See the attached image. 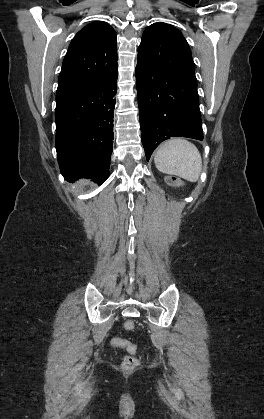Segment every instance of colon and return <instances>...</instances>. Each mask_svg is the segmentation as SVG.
Returning <instances> with one entry per match:
<instances>
[{
	"label": "colon",
	"instance_id": "obj_1",
	"mask_svg": "<svg viewBox=\"0 0 264 419\" xmlns=\"http://www.w3.org/2000/svg\"><path fill=\"white\" fill-rule=\"evenodd\" d=\"M170 183L173 185H179L180 181L177 178L173 177L170 179ZM125 329L128 331L134 330L135 323L133 321H127L125 323ZM114 345L115 347L124 348L130 353L129 355L125 356L122 362V368L126 371H131L135 369L139 364V360L135 356L137 352V346L122 338H117L114 342Z\"/></svg>",
	"mask_w": 264,
	"mask_h": 419
}]
</instances>
